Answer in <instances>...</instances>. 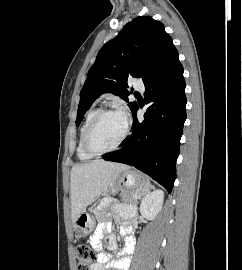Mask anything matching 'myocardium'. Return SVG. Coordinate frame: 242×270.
I'll list each match as a JSON object with an SVG mask.
<instances>
[{
    "instance_id": "myocardium-1",
    "label": "myocardium",
    "mask_w": 242,
    "mask_h": 270,
    "mask_svg": "<svg viewBox=\"0 0 242 270\" xmlns=\"http://www.w3.org/2000/svg\"><path fill=\"white\" fill-rule=\"evenodd\" d=\"M112 113H121V111H119L118 109H114V108L99 110L97 112V114L93 117V119L90 121V123L88 124V126L84 132L83 139H82V147H83V150L87 154H89L91 156L104 155V154H107V153H110V152L117 150L126 141L128 135H129V132H130V126H129L128 121H126L125 130H124L122 137L114 146H112L108 149H104V150H95L90 146L89 139H90V136H91L93 129L95 128V126L97 125V123L100 121V119L102 117H104L105 115H108V114H112Z\"/></svg>"
}]
</instances>
